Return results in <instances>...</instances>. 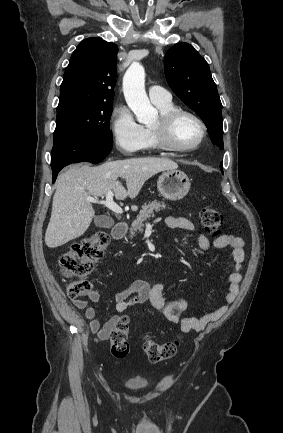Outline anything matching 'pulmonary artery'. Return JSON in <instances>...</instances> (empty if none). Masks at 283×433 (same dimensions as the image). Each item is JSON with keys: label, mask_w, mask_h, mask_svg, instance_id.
<instances>
[{"label": "pulmonary artery", "mask_w": 283, "mask_h": 433, "mask_svg": "<svg viewBox=\"0 0 283 433\" xmlns=\"http://www.w3.org/2000/svg\"><path fill=\"white\" fill-rule=\"evenodd\" d=\"M148 96L155 105L168 103L172 99L170 93L159 86H150L148 88Z\"/></svg>", "instance_id": "1"}]
</instances>
